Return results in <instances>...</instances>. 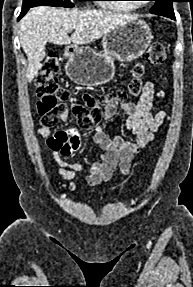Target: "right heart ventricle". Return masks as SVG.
Instances as JSON below:
<instances>
[{"instance_id":"right-heart-ventricle-1","label":"right heart ventricle","mask_w":193,"mask_h":287,"mask_svg":"<svg viewBox=\"0 0 193 287\" xmlns=\"http://www.w3.org/2000/svg\"><path fill=\"white\" fill-rule=\"evenodd\" d=\"M106 3L103 4V7L109 10L118 11V12H130L133 7L128 4L119 3L118 0H106Z\"/></svg>"}]
</instances>
